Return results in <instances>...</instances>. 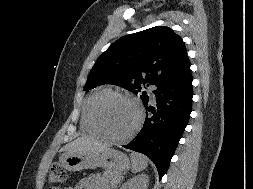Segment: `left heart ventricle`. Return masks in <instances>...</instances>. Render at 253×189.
I'll use <instances>...</instances> for the list:
<instances>
[{
	"mask_svg": "<svg viewBox=\"0 0 253 189\" xmlns=\"http://www.w3.org/2000/svg\"><path fill=\"white\" fill-rule=\"evenodd\" d=\"M100 116L107 130L115 136L128 134L137 121L135 108L117 98L108 99L101 105Z\"/></svg>",
	"mask_w": 253,
	"mask_h": 189,
	"instance_id": "1",
	"label": "left heart ventricle"
}]
</instances>
